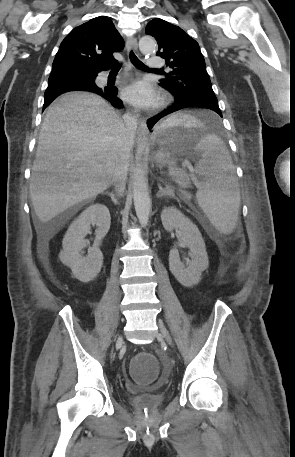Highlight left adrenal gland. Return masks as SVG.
Returning a JSON list of instances; mask_svg holds the SVG:
<instances>
[{
    "instance_id": "left-adrenal-gland-1",
    "label": "left adrenal gland",
    "mask_w": 295,
    "mask_h": 457,
    "mask_svg": "<svg viewBox=\"0 0 295 457\" xmlns=\"http://www.w3.org/2000/svg\"><path fill=\"white\" fill-rule=\"evenodd\" d=\"M158 187H159V191H158V193H157V197H163V196H164V197H169V196L172 195V194H171V191H169V190H164V189L161 187L160 184L158 185Z\"/></svg>"
}]
</instances>
